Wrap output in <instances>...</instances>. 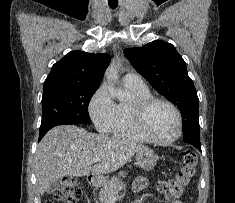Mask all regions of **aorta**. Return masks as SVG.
I'll list each match as a JSON object with an SVG mask.
<instances>
[{"instance_id":"obj_1","label":"aorta","mask_w":235,"mask_h":203,"mask_svg":"<svg viewBox=\"0 0 235 203\" xmlns=\"http://www.w3.org/2000/svg\"><path fill=\"white\" fill-rule=\"evenodd\" d=\"M106 78L109 81H115L118 78V72L115 66L111 65L106 73ZM112 95L118 98L119 100H124L125 95L121 91H112Z\"/></svg>"}]
</instances>
